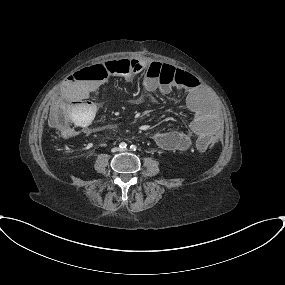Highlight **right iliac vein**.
<instances>
[{
  "instance_id": "obj_1",
  "label": "right iliac vein",
  "mask_w": 285,
  "mask_h": 285,
  "mask_svg": "<svg viewBox=\"0 0 285 285\" xmlns=\"http://www.w3.org/2000/svg\"><path fill=\"white\" fill-rule=\"evenodd\" d=\"M117 151H119L118 148H113V149H112V152H117Z\"/></svg>"
}]
</instances>
